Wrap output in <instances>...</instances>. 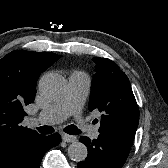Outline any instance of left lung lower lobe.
Masks as SVG:
<instances>
[{
    "label": "left lung lower lobe",
    "mask_w": 168,
    "mask_h": 168,
    "mask_svg": "<svg viewBox=\"0 0 168 168\" xmlns=\"http://www.w3.org/2000/svg\"><path fill=\"white\" fill-rule=\"evenodd\" d=\"M88 148V157L77 164L78 168H121L130 152L131 145L109 134L100 133L97 139L80 137Z\"/></svg>",
    "instance_id": "0a47b994"
}]
</instances>
